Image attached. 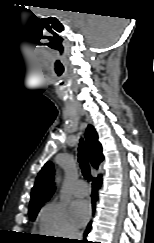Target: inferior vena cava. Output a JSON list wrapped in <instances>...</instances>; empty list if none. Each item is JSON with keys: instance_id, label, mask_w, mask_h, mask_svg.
Here are the masks:
<instances>
[{"instance_id": "inferior-vena-cava-1", "label": "inferior vena cava", "mask_w": 154, "mask_h": 243, "mask_svg": "<svg viewBox=\"0 0 154 243\" xmlns=\"http://www.w3.org/2000/svg\"><path fill=\"white\" fill-rule=\"evenodd\" d=\"M70 237H71V239H78V240H81L82 235H81V233H79V232L72 231L71 234H70Z\"/></svg>"}]
</instances>
